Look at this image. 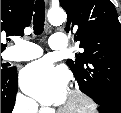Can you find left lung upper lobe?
Instances as JSON below:
<instances>
[{
    "instance_id": "1",
    "label": "left lung upper lobe",
    "mask_w": 121,
    "mask_h": 113,
    "mask_svg": "<svg viewBox=\"0 0 121 113\" xmlns=\"http://www.w3.org/2000/svg\"><path fill=\"white\" fill-rule=\"evenodd\" d=\"M83 53L67 60L83 93L121 106V25L110 0H59Z\"/></svg>"
}]
</instances>
